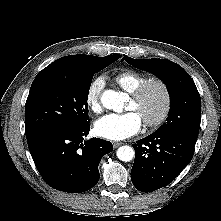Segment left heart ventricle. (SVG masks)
<instances>
[{"label":"left heart ventricle","instance_id":"obj_1","mask_svg":"<svg viewBox=\"0 0 221 221\" xmlns=\"http://www.w3.org/2000/svg\"><path fill=\"white\" fill-rule=\"evenodd\" d=\"M163 106V95L158 87L150 88L143 98L135 103L130 100L127 109L138 113L142 121L154 119Z\"/></svg>","mask_w":221,"mask_h":221}]
</instances>
